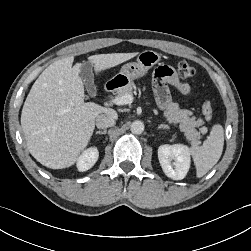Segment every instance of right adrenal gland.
I'll use <instances>...</instances> for the list:
<instances>
[{
	"instance_id": "1",
	"label": "right adrenal gland",
	"mask_w": 251,
	"mask_h": 251,
	"mask_svg": "<svg viewBox=\"0 0 251 251\" xmlns=\"http://www.w3.org/2000/svg\"><path fill=\"white\" fill-rule=\"evenodd\" d=\"M106 133H107V130H99V131H96L95 132V134L97 135V134H104V135H106Z\"/></svg>"
}]
</instances>
